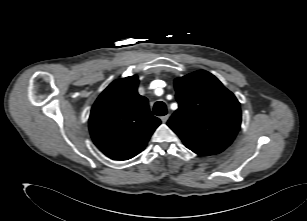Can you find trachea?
<instances>
[{"label": "trachea", "mask_w": 307, "mask_h": 221, "mask_svg": "<svg viewBox=\"0 0 307 221\" xmlns=\"http://www.w3.org/2000/svg\"><path fill=\"white\" fill-rule=\"evenodd\" d=\"M153 112L157 116H164L167 114V108L164 102L158 101L154 104Z\"/></svg>", "instance_id": "3493384b"}]
</instances>
